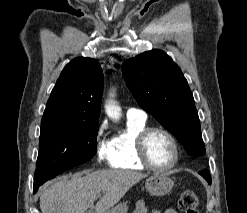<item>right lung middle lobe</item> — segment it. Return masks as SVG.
Listing matches in <instances>:
<instances>
[{
	"mask_svg": "<svg viewBox=\"0 0 247 213\" xmlns=\"http://www.w3.org/2000/svg\"><path fill=\"white\" fill-rule=\"evenodd\" d=\"M98 129L99 125L41 124L34 186L90 160L96 154Z\"/></svg>",
	"mask_w": 247,
	"mask_h": 213,
	"instance_id": "dd1d6c3e",
	"label": "right lung middle lobe"
}]
</instances>
